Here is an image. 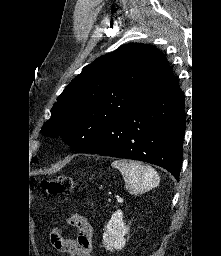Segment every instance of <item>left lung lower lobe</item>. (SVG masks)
<instances>
[{"instance_id":"left-lung-lower-lobe-1","label":"left lung lower lobe","mask_w":221,"mask_h":256,"mask_svg":"<svg viewBox=\"0 0 221 256\" xmlns=\"http://www.w3.org/2000/svg\"><path fill=\"white\" fill-rule=\"evenodd\" d=\"M185 118L183 93L173 76L75 153L140 160L179 179Z\"/></svg>"}]
</instances>
